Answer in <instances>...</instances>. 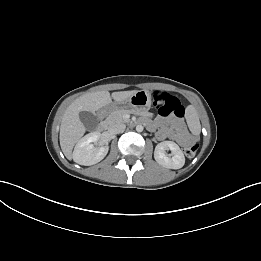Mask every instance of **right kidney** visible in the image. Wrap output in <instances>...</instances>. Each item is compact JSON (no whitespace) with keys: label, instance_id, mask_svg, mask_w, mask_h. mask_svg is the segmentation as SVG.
Returning <instances> with one entry per match:
<instances>
[{"label":"right kidney","instance_id":"1","mask_svg":"<svg viewBox=\"0 0 261 261\" xmlns=\"http://www.w3.org/2000/svg\"><path fill=\"white\" fill-rule=\"evenodd\" d=\"M100 133H89L76 144L72 157L74 162L84 166H91L100 162L108 153V146L94 147L92 144L100 139Z\"/></svg>","mask_w":261,"mask_h":261}]
</instances>
